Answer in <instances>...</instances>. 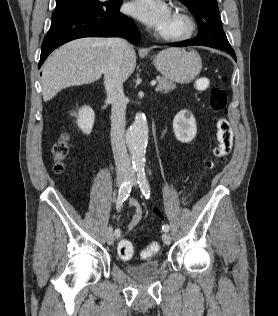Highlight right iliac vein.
I'll return each mask as SVG.
<instances>
[{
    "instance_id": "1",
    "label": "right iliac vein",
    "mask_w": 278,
    "mask_h": 316,
    "mask_svg": "<svg viewBox=\"0 0 278 316\" xmlns=\"http://www.w3.org/2000/svg\"><path fill=\"white\" fill-rule=\"evenodd\" d=\"M127 180V174L126 173H119L117 175V178H116V183H117V186H121L125 181ZM114 235H113V231H112V228H108L107 232H106V241L109 245H112L114 243Z\"/></svg>"
}]
</instances>
